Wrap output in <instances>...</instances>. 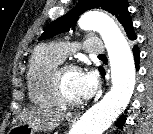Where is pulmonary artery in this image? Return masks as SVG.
<instances>
[{
	"instance_id": "pulmonary-artery-1",
	"label": "pulmonary artery",
	"mask_w": 153,
	"mask_h": 134,
	"mask_svg": "<svg viewBox=\"0 0 153 134\" xmlns=\"http://www.w3.org/2000/svg\"><path fill=\"white\" fill-rule=\"evenodd\" d=\"M50 47L61 60H64L75 51L77 45L69 42H53ZM84 48L88 53L95 55L103 54L105 51L102 41L96 37L88 38L84 42Z\"/></svg>"
}]
</instances>
